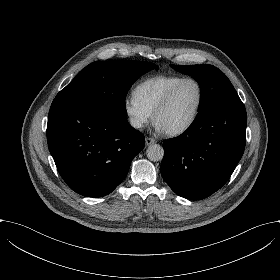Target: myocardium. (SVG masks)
I'll return each instance as SVG.
<instances>
[{
  "label": "myocardium",
  "mask_w": 280,
  "mask_h": 280,
  "mask_svg": "<svg viewBox=\"0 0 280 280\" xmlns=\"http://www.w3.org/2000/svg\"><path fill=\"white\" fill-rule=\"evenodd\" d=\"M192 81L194 83H196V85L198 86L199 89V100H198V104L195 110L194 115L192 116V118L186 122L183 125L177 126L171 130H168V134L169 135H179L182 134L184 132H186L188 129H190L198 120L199 115L201 113V110L203 108V103H204V96H205V92H204V87L203 84L201 83L200 80H198L195 77H185L183 78L178 84H176L173 88H171L169 90V92L166 94V96L164 97V99L160 102V104L156 107L155 111H154V118L157 119L158 115L164 111L171 103L175 93L178 91V89L186 82Z\"/></svg>",
  "instance_id": "1"
}]
</instances>
